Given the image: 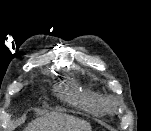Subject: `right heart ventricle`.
I'll return each mask as SVG.
<instances>
[{
	"mask_svg": "<svg viewBox=\"0 0 151 131\" xmlns=\"http://www.w3.org/2000/svg\"><path fill=\"white\" fill-rule=\"evenodd\" d=\"M58 94L70 104L91 114L101 115L106 111V101L101 94L92 89L81 88L74 82L60 87Z\"/></svg>",
	"mask_w": 151,
	"mask_h": 131,
	"instance_id": "1",
	"label": "right heart ventricle"
}]
</instances>
